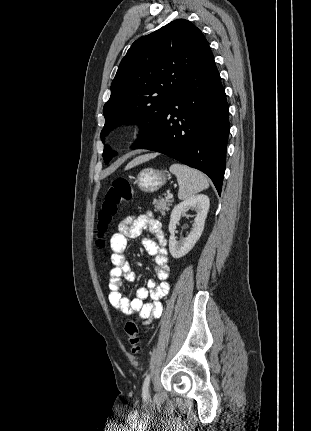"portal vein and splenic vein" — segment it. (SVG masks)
<instances>
[{
    "label": "portal vein and splenic vein",
    "mask_w": 311,
    "mask_h": 431,
    "mask_svg": "<svg viewBox=\"0 0 311 431\" xmlns=\"http://www.w3.org/2000/svg\"><path fill=\"white\" fill-rule=\"evenodd\" d=\"M171 198H173V194H170V192H168L167 200H171Z\"/></svg>",
    "instance_id": "1"
}]
</instances>
